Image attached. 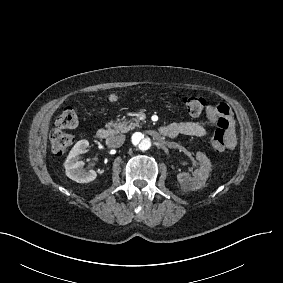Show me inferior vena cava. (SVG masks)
Instances as JSON below:
<instances>
[{
  "mask_svg": "<svg viewBox=\"0 0 283 283\" xmlns=\"http://www.w3.org/2000/svg\"><path fill=\"white\" fill-rule=\"evenodd\" d=\"M125 141V136L124 135H116V136H110L106 139V144L109 147L117 148L122 146V144Z\"/></svg>",
  "mask_w": 283,
  "mask_h": 283,
  "instance_id": "obj_1",
  "label": "inferior vena cava"
}]
</instances>
